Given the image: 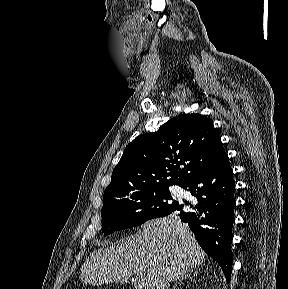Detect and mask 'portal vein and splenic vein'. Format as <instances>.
I'll list each match as a JSON object with an SVG mask.
<instances>
[{"label":"portal vein and splenic vein","mask_w":288,"mask_h":289,"mask_svg":"<svg viewBox=\"0 0 288 289\" xmlns=\"http://www.w3.org/2000/svg\"><path fill=\"white\" fill-rule=\"evenodd\" d=\"M134 286H135V288H137V289H141V278H140V277H138V278L135 279V281H134Z\"/></svg>","instance_id":"18ae733b"}]
</instances>
